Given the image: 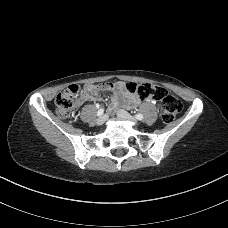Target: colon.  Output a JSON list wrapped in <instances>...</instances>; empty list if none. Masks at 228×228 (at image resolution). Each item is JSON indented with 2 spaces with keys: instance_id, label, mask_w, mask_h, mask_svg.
<instances>
[{
  "instance_id": "5ec220e1",
  "label": "colon",
  "mask_w": 228,
  "mask_h": 228,
  "mask_svg": "<svg viewBox=\"0 0 228 228\" xmlns=\"http://www.w3.org/2000/svg\"><path fill=\"white\" fill-rule=\"evenodd\" d=\"M126 90L137 95L141 99H160L161 100V116L164 122H172L181 112V102L172 95H167L156 85L149 83L128 82ZM81 92L78 85H71L59 92L55 98L56 113L60 118H68L73 114L76 100Z\"/></svg>"
}]
</instances>
